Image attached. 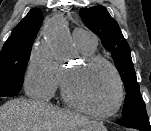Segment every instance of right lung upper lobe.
Wrapping results in <instances>:
<instances>
[{"instance_id":"right-lung-upper-lobe-1","label":"right lung upper lobe","mask_w":151,"mask_h":131,"mask_svg":"<svg viewBox=\"0 0 151 131\" xmlns=\"http://www.w3.org/2000/svg\"><path fill=\"white\" fill-rule=\"evenodd\" d=\"M43 21L42 11L31 9L13 29L3 47L32 45Z\"/></svg>"}]
</instances>
